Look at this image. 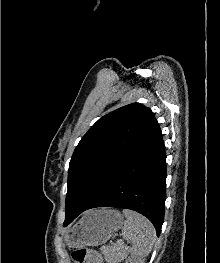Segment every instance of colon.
<instances>
[{"label":"colon","mask_w":220,"mask_h":263,"mask_svg":"<svg viewBox=\"0 0 220 263\" xmlns=\"http://www.w3.org/2000/svg\"><path fill=\"white\" fill-rule=\"evenodd\" d=\"M73 263H88L93 260L95 263H102L101 255L88 248H78L72 252Z\"/></svg>","instance_id":"5ec220e1"}]
</instances>
